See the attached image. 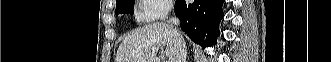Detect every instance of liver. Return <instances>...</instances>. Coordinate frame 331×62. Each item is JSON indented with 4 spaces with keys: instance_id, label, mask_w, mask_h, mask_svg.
<instances>
[{
    "instance_id": "obj_1",
    "label": "liver",
    "mask_w": 331,
    "mask_h": 62,
    "mask_svg": "<svg viewBox=\"0 0 331 62\" xmlns=\"http://www.w3.org/2000/svg\"><path fill=\"white\" fill-rule=\"evenodd\" d=\"M166 47L168 62H175V35L167 24L145 25L127 35L120 44L115 62H157L159 48ZM155 48V51H152Z\"/></svg>"
}]
</instances>
